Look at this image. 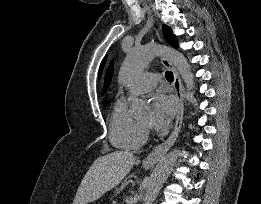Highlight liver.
Masks as SVG:
<instances>
[{
	"label": "liver",
	"instance_id": "obj_1",
	"mask_svg": "<svg viewBox=\"0 0 261 204\" xmlns=\"http://www.w3.org/2000/svg\"><path fill=\"white\" fill-rule=\"evenodd\" d=\"M136 157L126 151H114L98 157L85 174L73 204H88L118 185L129 173Z\"/></svg>",
	"mask_w": 261,
	"mask_h": 204
}]
</instances>
